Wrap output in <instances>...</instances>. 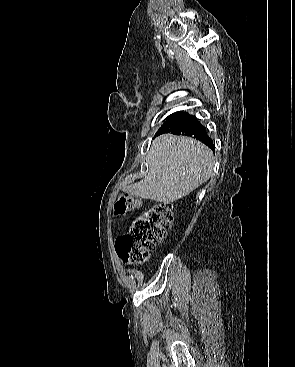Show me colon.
Returning a JSON list of instances; mask_svg holds the SVG:
<instances>
[{
  "label": "colon",
  "instance_id": "5ec220e1",
  "mask_svg": "<svg viewBox=\"0 0 295 367\" xmlns=\"http://www.w3.org/2000/svg\"><path fill=\"white\" fill-rule=\"evenodd\" d=\"M140 204V199L123 195L115 203L114 211L116 214H126L139 208ZM172 223L173 211L168 204L156 203L142 211L132 218L129 231L117 238L118 256L126 263H145L166 237Z\"/></svg>",
  "mask_w": 295,
  "mask_h": 367
}]
</instances>
